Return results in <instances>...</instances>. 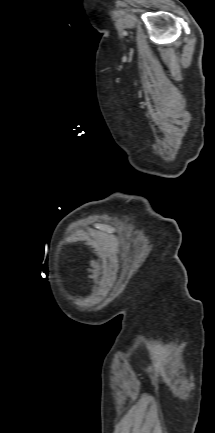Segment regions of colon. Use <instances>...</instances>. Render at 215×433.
<instances>
[{"mask_svg":"<svg viewBox=\"0 0 215 433\" xmlns=\"http://www.w3.org/2000/svg\"><path fill=\"white\" fill-rule=\"evenodd\" d=\"M97 270H98L97 263L96 262H91V264L89 266V277H90L92 283H94L96 281Z\"/></svg>","mask_w":215,"mask_h":433,"instance_id":"colon-1","label":"colon"}]
</instances>
